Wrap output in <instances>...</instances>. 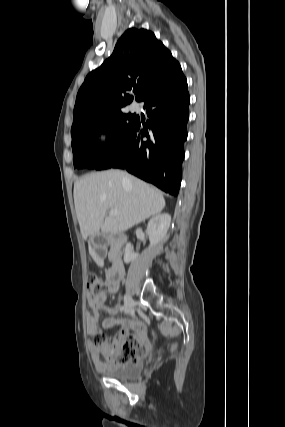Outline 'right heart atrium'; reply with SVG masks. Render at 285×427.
Instances as JSON below:
<instances>
[{"label":"right heart atrium","instance_id":"1","mask_svg":"<svg viewBox=\"0 0 285 427\" xmlns=\"http://www.w3.org/2000/svg\"><path fill=\"white\" fill-rule=\"evenodd\" d=\"M113 140V131L110 128H102L96 133L94 143L98 150L104 151L111 147Z\"/></svg>","mask_w":285,"mask_h":427}]
</instances>
